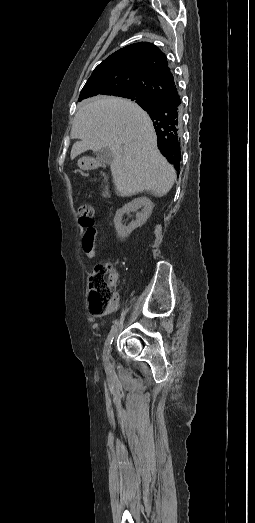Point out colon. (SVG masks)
Returning a JSON list of instances; mask_svg holds the SVG:
<instances>
[{"label": "colon", "instance_id": "colon-1", "mask_svg": "<svg viewBox=\"0 0 255 523\" xmlns=\"http://www.w3.org/2000/svg\"><path fill=\"white\" fill-rule=\"evenodd\" d=\"M104 195H108L106 189ZM93 214V207L89 204H83L78 208L82 225L91 224ZM116 282V272L109 262L95 266L89 279V305L93 315H102L114 310L117 304Z\"/></svg>", "mask_w": 255, "mask_h": 523}]
</instances>
